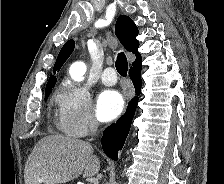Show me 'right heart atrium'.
<instances>
[{
  "label": "right heart atrium",
  "mask_w": 224,
  "mask_h": 184,
  "mask_svg": "<svg viewBox=\"0 0 224 184\" xmlns=\"http://www.w3.org/2000/svg\"><path fill=\"white\" fill-rule=\"evenodd\" d=\"M57 124L72 137H84L97 128L91 97L83 86L72 82L62 86L57 97Z\"/></svg>",
  "instance_id": "obj_1"
}]
</instances>
